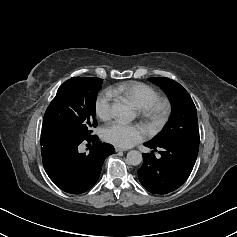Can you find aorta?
Here are the masks:
<instances>
[{"label": "aorta", "mask_w": 237, "mask_h": 237, "mask_svg": "<svg viewBox=\"0 0 237 237\" xmlns=\"http://www.w3.org/2000/svg\"><path fill=\"white\" fill-rule=\"evenodd\" d=\"M113 112L125 121H132L135 117V113L131 107L123 102L114 103L112 106ZM127 163L133 166L139 165L142 160V154L137 150H131L127 153Z\"/></svg>", "instance_id": "762f6f07"}]
</instances>
